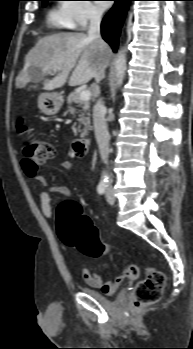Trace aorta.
I'll use <instances>...</instances> for the list:
<instances>
[{
    "mask_svg": "<svg viewBox=\"0 0 193 349\" xmlns=\"http://www.w3.org/2000/svg\"><path fill=\"white\" fill-rule=\"evenodd\" d=\"M126 51L125 49H120L118 51L117 57L115 59V72H116V84L120 87L123 83L126 71ZM108 178L105 172L102 173V180H106Z\"/></svg>",
    "mask_w": 193,
    "mask_h": 349,
    "instance_id": "1",
    "label": "aorta"
}]
</instances>
